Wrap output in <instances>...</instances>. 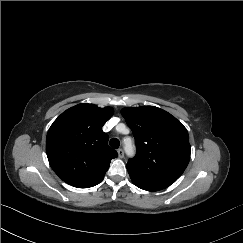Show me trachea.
Returning a JSON list of instances; mask_svg holds the SVG:
<instances>
[{"mask_svg": "<svg viewBox=\"0 0 243 243\" xmlns=\"http://www.w3.org/2000/svg\"><path fill=\"white\" fill-rule=\"evenodd\" d=\"M109 144L112 148L117 149L120 146V141L117 138H112Z\"/></svg>", "mask_w": 243, "mask_h": 243, "instance_id": "obj_1", "label": "trachea"}]
</instances>
